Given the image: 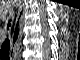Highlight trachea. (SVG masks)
Masks as SVG:
<instances>
[{"mask_svg":"<svg viewBox=\"0 0 80 60\" xmlns=\"http://www.w3.org/2000/svg\"><path fill=\"white\" fill-rule=\"evenodd\" d=\"M10 22L8 23V27L10 26ZM9 51H10V40L7 38L5 39V41L2 44L1 47V54L4 56H8L9 57Z\"/></svg>","mask_w":80,"mask_h":60,"instance_id":"trachea-1","label":"trachea"}]
</instances>
